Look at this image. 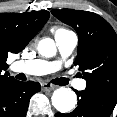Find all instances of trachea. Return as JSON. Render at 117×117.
<instances>
[{
    "instance_id": "1",
    "label": "trachea",
    "mask_w": 117,
    "mask_h": 117,
    "mask_svg": "<svg viewBox=\"0 0 117 117\" xmlns=\"http://www.w3.org/2000/svg\"><path fill=\"white\" fill-rule=\"evenodd\" d=\"M53 83L57 84V85H67L68 79L67 78H58V79L53 80Z\"/></svg>"
}]
</instances>
